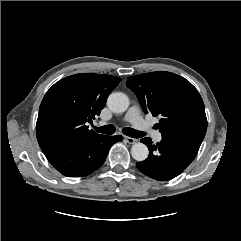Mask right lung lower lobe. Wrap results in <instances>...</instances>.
<instances>
[{"instance_id": "98d812e1", "label": "right lung lower lobe", "mask_w": 241, "mask_h": 241, "mask_svg": "<svg viewBox=\"0 0 241 241\" xmlns=\"http://www.w3.org/2000/svg\"><path fill=\"white\" fill-rule=\"evenodd\" d=\"M122 139L121 135H98L56 146L44 154L61 174L67 177H83L101 167L111 146Z\"/></svg>"}]
</instances>
